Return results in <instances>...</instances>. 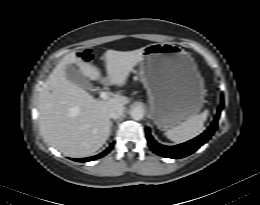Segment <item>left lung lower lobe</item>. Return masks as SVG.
<instances>
[{"instance_id": "1", "label": "left lung lower lobe", "mask_w": 260, "mask_h": 205, "mask_svg": "<svg viewBox=\"0 0 260 205\" xmlns=\"http://www.w3.org/2000/svg\"><path fill=\"white\" fill-rule=\"evenodd\" d=\"M223 105H224V101L222 98L220 107L217 110V115L215 116L213 123L203 134H201L200 136H198L188 142H185V143H182V144H179L176 146H164V145L157 143L152 138V136L150 134V130L146 129V137L149 142V146H150L151 150L160 156L167 157V158H174V159L183 158V157H186V156L192 154L200 146H202L204 143H206L208 141V139H210V137L214 133L215 129L217 128L218 119H219Z\"/></svg>"}]
</instances>
